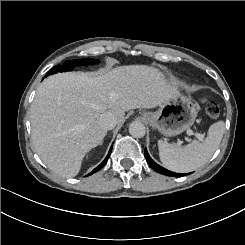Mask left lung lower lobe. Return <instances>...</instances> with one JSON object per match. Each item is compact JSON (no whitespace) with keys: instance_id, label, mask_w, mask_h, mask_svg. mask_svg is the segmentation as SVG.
I'll return each instance as SVG.
<instances>
[{"instance_id":"obj_1","label":"left lung lower lobe","mask_w":245,"mask_h":245,"mask_svg":"<svg viewBox=\"0 0 245 245\" xmlns=\"http://www.w3.org/2000/svg\"><path fill=\"white\" fill-rule=\"evenodd\" d=\"M144 155H145L146 161L149 164V166L160 174L167 175V176H173V177H181V176L185 175V174H180V173H174L172 171H169V170L159 166L157 163H155L151 159V157L149 156V154L147 152V149H145Z\"/></svg>"}]
</instances>
